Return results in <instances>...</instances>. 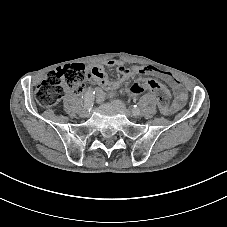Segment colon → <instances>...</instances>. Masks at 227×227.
Wrapping results in <instances>:
<instances>
[{
    "label": "colon",
    "instance_id": "1",
    "mask_svg": "<svg viewBox=\"0 0 227 227\" xmlns=\"http://www.w3.org/2000/svg\"><path fill=\"white\" fill-rule=\"evenodd\" d=\"M85 76V67L82 64H68L55 69L37 86L36 101L42 107L57 105L67 90H82ZM145 90H150L157 96L160 106L169 105L171 98L169 90L155 80L140 78L131 87L133 94Z\"/></svg>",
    "mask_w": 227,
    "mask_h": 227
}]
</instances>
